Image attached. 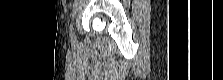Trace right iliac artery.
<instances>
[{
	"label": "right iliac artery",
	"instance_id": "right-iliac-artery-1",
	"mask_svg": "<svg viewBox=\"0 0 223 80\" xmlns=\"http://www.w3.org/2000/svg\"><path fill=\"white\" fill-rule=\"evenodd\" d=\"M70 36H71V40H72V42L75 43V36H74V32H73V30H72V26H71V28H70Z\"/></svg>",
	"mask_w": 223,
	"mask_h": 80
}]
</instances>
